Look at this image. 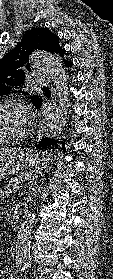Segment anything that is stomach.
Wrapping results in <instances>:
<instances>
[{
  "instance_id": "stomach-1",
  "label": "stomach",
  "mask_w": 113,
  "mask_h": 279,
  "mask_svg": "<svg viewBox=\"0 0 113 279\" xmlns=\"http://www.w3.org/2000/svg\"><path fill=\"white\" fill-rule=\"evenodd\" d=\"M46 160L45 154L20 147L0 151V180L20 170L39 168Z\"/></svg>"
}]
</instances>
